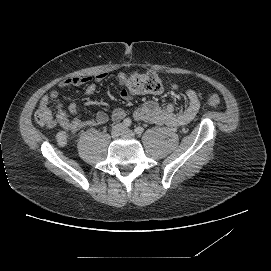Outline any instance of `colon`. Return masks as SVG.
Returning a JSON list of instances; mask_svg holds the SVG:
<instances>
[{
	"mask_svg": "<svg viewBox=\"0 0 271 271\" xmlns=\"http://www.w3.org/2000/svg\"><path fill=\"white\" fill-rule=\"evenodd\" d=\"M121 84L123 89L131 95H157L162 93L164 88L159 76L152 71L144 73L132 71L126 76L125 80ZM207 99L208 102L214 107H219L221 105L220 98L215 94H209ZM35 119L39 125H47L46 117L38 112Z\"/></svg>",
	"mask_w": 271,
	"mask_h": 271,
	"instance_id": "5ec220e1",
	"label": "colon"
}]
</instances>
